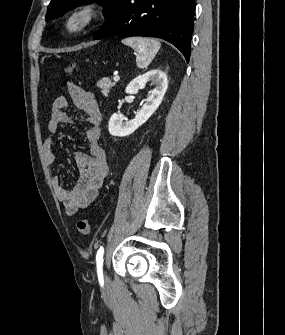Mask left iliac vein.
<instances>
[{
	"label": "left iliac vein",
	"mask_w": 285,
	"mask_h": 335,
	"mask_svg": "<svg viewBox=\"0 0 285 335\" xmlns=\"http://www.w3.org/2000/svg\"><path fill=\"white\" fill-rule=\"evenodd\" d=\"M104 282L109 283V277H108L107 272H104Z\"/></svg>",
	"instance_id": "1"
}]
</instances>
